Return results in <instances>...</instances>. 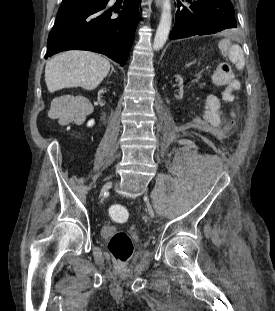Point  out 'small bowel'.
Returning <instances> with one entry per match:
<instances>
[{"instance_id":"small-bowel-1","label":"small bowel","mask_w":275,"mask_h":311,"mask_svg":"<svg viewBox=\"0 0 275 311\" xmlns=\"http://www.w3.org/2000/svg\"><path fill=\"white\" fill-rule=\"evenodd\" d=\"M219 47L221 48L219 52V64L215 65V69L209 74V87H227L229 84H237V80L234 79L232 73V65L228 62L240 61L243 57V51L239 45H232L229 38H224L219 42ZM193 86L197 85L196 81L192 82ZM199 87V92L204 93L202 98V110L201 115L203 116V122H207L208 126H218L217 132L221 133L222 139L230 138V131L232 128L231 122H225L222 119L224 115L223 102L217 92H208V87L204 86L205 82L201 81ZM87 127H92L94 125V120H89L86 123Z\"/></svg>"}]
</instances>
